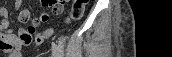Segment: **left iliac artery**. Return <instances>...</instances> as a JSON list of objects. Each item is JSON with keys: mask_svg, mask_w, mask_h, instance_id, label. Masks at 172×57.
Here are the masks:
<instances>
[{"mask_svg": "<svg viewBox=\"0 0 172 57\" xmlns=\"http://www.w3.org/2000/svg\"><path fill=\"white\" fill-rule=\"evenodd\" d=\"M58 48H59L60 57H63L64 56V40H63V37L59 38Z\"/></svg>", "mask_w": 172, "mask_h": 57, "instance_id": "1", "label": "left iliac artery"}]
</instances>
